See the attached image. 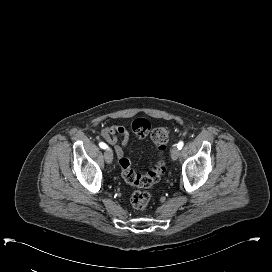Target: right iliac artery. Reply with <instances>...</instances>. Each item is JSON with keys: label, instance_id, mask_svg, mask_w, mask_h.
<instances>
[{"label": "right iliac artery", "instance_id": "obj_1", "mask_svg": "<svg viewBox=\"0 0 272 272\" xmlns=\"http://www.w3.org/2000/svg\"><path fill=\"white\" fill-rule=\"evenodd\" d=\"M99 146H100V148H102V149L108 148V146H107L105 143H103V142H100V143H99Z\"/></svg>", "mask_w": 272, "mask_h": 272}]
</instances>
